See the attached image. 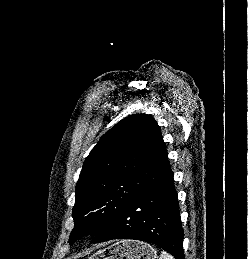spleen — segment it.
<instances>
[{
	"mask_svg": "<svg viewBox=\"0 0 248 259\" xmlns=\"http://www.w3.org/2000/svg\"><path fill=\"white\" fill-rule=\"evenodd\" d=\"M159 259H175V258L168 252L162 251Z\"/></svg>",
	"mask_w": 248,
	"mask_h": 259,
	"instance_id": "1",
	"label": "spleen"
}]
</instances>
